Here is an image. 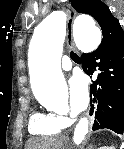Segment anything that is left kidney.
<instances>
[{"label": "left kidney", "mask_w": 124, "mask_h": 149, "mask_svg": "<svg viewBox=\"0 0 124 149\" xmlns=\"http://www.w3.org/2000/svg\"><path fill=\"white\" fill-rule=\"evenodd\" d=\"M99 149H115L114 146H103V147H100Z\"/></svg>", "instance_id": "obj_1"}]
</instances>
